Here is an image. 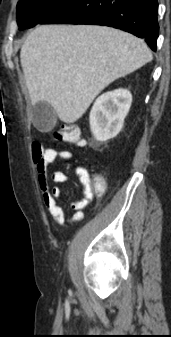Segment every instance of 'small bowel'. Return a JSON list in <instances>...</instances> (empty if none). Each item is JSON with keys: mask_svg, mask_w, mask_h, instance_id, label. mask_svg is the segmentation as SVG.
Returning a JSON list of instances; mask_svg holds the SVG:
<instances>
[{"mask_svg": "<svg viewBox=\"0 0 171 337\" xmlns=\"http://www.w3.org/2000/svg\"><path fill=\"white\" fill-rule=\"evenodd\" d=\"M58 158L70 162L74 159V155L66 150H57L53 147L44 149L39 143L34 144L32 160L38 185L42 192L43 203L53 221L58 225H63L67 221L76 222L83 218V209L93 201L94 191L88 171L84 167H76L75 173L84 188V197L71 203L74 213L68 216L58 203L62 193L61 189L58 186H51L49 183L48 166ZM50 180L56 184H62L69 181V176L67 173L57 170L51 174Z\"/></svg>", "mask_w": 171, "mask_h": 337, "instance_id": "obj_1", "label": "small bowel"}]
</instances>
